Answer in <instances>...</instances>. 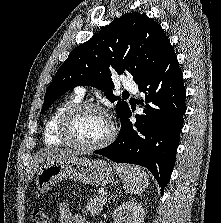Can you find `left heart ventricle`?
<instances>
[{"instance_id": "b2bd125f", "label": "left heart ventricle", "mask_w": 221, "mask_h": 223, "mask_svg": "<svg viewBox=\"0 0 221 223\" xmlns=\"http://www.w3.org/2000/svg\"><path fill=\"white\" fill-rule=\"evenodd\" d=\"M110 130L107 118L100 112L86 110L71 123V137L81 144L93 145L104 139Z\"/></svg>"}]
</instances>
